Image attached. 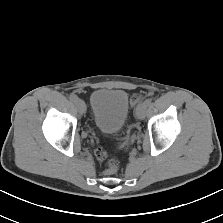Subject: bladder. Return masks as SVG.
Wrapping results in <instances>:
<instances>
[{
    "label": "bladder",
    "mask_w": 223,
    "mask_h": 223,
    "mask_svg": "<svg viewBox=\"0 0 223 223\" xmlns=\"http://www.w3.org/2000/svg\"><path fill=\"white\" fill-rule=\"evenodd\" d=\"M95 125L104 133L113 134L126 124L130 111L128 93L120 88H98L90 97Z\"/></svg>",
    "instance_id": "obj_1"
}]
</instances>
